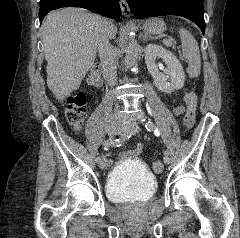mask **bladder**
I'll use <instances>...</instances> for the list:
<instances>
[{"label":"bladder","instance_id":"obj_1","mask_svg":"<svg viewBox=\"0 0 240 238\" xmlns=\"http://www.w3.org/2000/svg\"><path fill=\"white\" fill-rule=\"evenodd\" d=\"M157 191V180L139 159L127 157L120 160L106 180V194L116 203H144Z\"/></svg>","mask_w":240,"mask_h":238}]
</instances>
